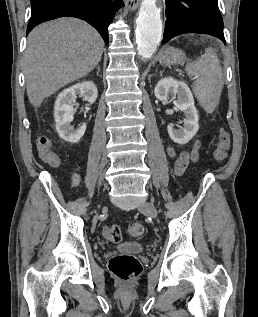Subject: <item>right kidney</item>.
Returning <instances> with one entry per match:
<instances>
[{"mask_svg": "<svg viewBox=\"0 0 258 317\" xmlns=\"http://www.w3.org/2000/svg\"><path fill=\"white\" fill-rule=\"evenodd\" d=\"M77 94L85 96L86 100L93 104L98 94L97 86L92 80H85V82H77L59 92L54 104L56 130L59 136L68 142H78L87 126L86 122H82L78 128H74L70 124L73 120V114H71L74 110L73 102H76Z\"/></svg>", "mask_w": 258, "mask_h": 317, "instance_id": "ca27d5eb", "label": "right kidney"}]
</instances>
